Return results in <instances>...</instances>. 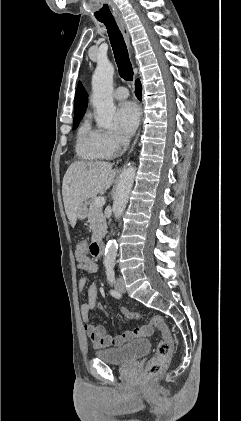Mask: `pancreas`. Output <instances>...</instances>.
<instances>
[{"instance_id": "cf45deb5", "label": "pancreas", "mask_w": 241, "mask_h": 421, "mask_svg": "<svg viewBox=\"0 0 241 421\" xmlns=\"http://www.w3.org/2000/svg\"><path fill=\"white\" fill-rule=\"evenodd\" d=\"M94 200L95 198H92L88 201L89 209L87 217L93 232L92 238L100 239L106 234L107 224L102 208L95 206Z\"/></svg>"}]
</instances>
